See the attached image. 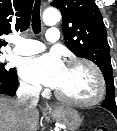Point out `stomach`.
<instances>
[{"label":"stomach","mask_w":117,"mask_h":131,"mask_svg":"<svg viewBox=\"0 0 117 131\" xmlns=\"http://www.w3.org/2000/svg\"><path fill=\"white\" fill-rule=\"evenodd\" d=\"M51 117L68 131H76L81 124L80 114L68 106H58L49 112Z\"/></svg>","instance_id":"obj_1"}]
</instances>
